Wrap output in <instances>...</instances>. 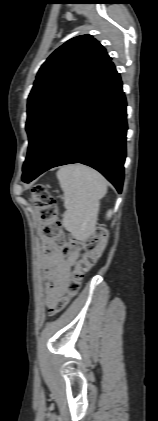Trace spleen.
<instances>
[{"instance_id":"1","label":"spleen","mask_w":158,"mask_h":421,"mask_svg":"<svg viewBox=\"0 0 158 421\" xmlns=\"http://www.w3.org/2000/svg\"><path fill=\"white\" fill-rule=\"evenodd\" d=\"M57 178L64 192L62 225L77 239L87 238L95 227L100 199L106 194L105 178L82 164L61 167Z\"/></svg>"}]
</instances>
